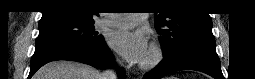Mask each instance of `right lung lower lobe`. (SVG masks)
<instances>
[{
  "mask_svg": "<svg viewBox=\"0 0 255 79\" xmlns=\"http://www.w3.org/2000/svg\"><path fill=\"white\" fill-rule=\"evenodd\" d=\"M55 60H72L100 68L113 65V56L103 38L95 44L47 42L36 45L28 78H31L41 66ZM120 76L125 77L122 70Z\"/></svg>",
  "mask_w": 255,
  "mask_h": 79,
  "instance_id": "98d812e1",
  "label": "right lung lower lobe"
}]
</instances>
